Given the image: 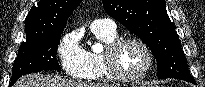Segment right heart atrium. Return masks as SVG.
<instances>
[{
	"label": "right heart atrium",
	"mask_w": 205,
	"mask_h": 87,
	"mask_svg": "<svg viewBox=\"0 0 205 87\" xmlns=\"http://www.w3.org/2000/svg\"><path fill=\"white\" fill-rule=\"evenodd\" d=\"M60 65L66 74L80 78L86 69V51L79 43V37L70 32L62 37L57 47Z\"/></svg>",
	"instance_id": "d8ad5b80"
}]
</instances>
